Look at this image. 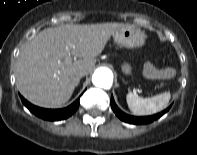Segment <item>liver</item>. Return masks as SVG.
Segmentation results:
<instances>
[{"label": "liver", "mask_w": 197, "mask_h": 155, "mask_svg": "<svg viewBox=\"0 0 197 155\" xmlns=\"http://www.w3.org/2000/svg\"><path fill=\"white\" fill-rule=\"evenodd\" d=\"M122 26L120 23L66 24L44 29L20 51L15 71L17 89L40 107L56 108L65 104L80 81L78 71L85 69L87 74L93 71L96 57ZM70 56L78 59L67 60Z\"/></svg>", "instance_id": "6515ba94"}]
</instances>
